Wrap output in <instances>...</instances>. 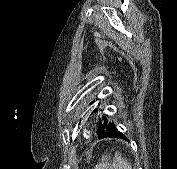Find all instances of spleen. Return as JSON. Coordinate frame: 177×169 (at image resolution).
I'll use <instances>...</instances> for the list:
<instances>
[{"instance_id": "spleen-1", "label": "spleen", "mask_w": 177, "mask_h": 169, "mask_svg": "<svg viewBox=\"0 0 177 169\" xmlns=\"http://www.w3.org/2000/svg\"><path fill=\"white\" fill-rule=\"evenodd\" d=\"M94 169H132V166L119 152H116L112 162H109L107 157H103Z\"/></svg>"}]
</instances>
